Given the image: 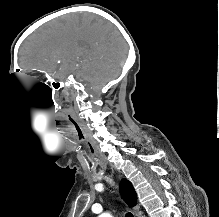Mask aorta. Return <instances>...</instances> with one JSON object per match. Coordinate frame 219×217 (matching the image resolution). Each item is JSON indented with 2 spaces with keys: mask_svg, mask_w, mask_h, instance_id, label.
<instances>
[{
  "mask_svg": "<svg viewBox=\"0 0 219 217\" xmlns=\"http://www.w3.org/2000/svg\"><path fill=\"white\" fill-rule=\"evenodd\" d=\"M99 217H112L109 213H103Z\"/></svg>",
  "mask_w": 219,
  "mask_h": 217,
  "instance_id": "762f6f07",
  "label": "aorta"
}]
</instances>
